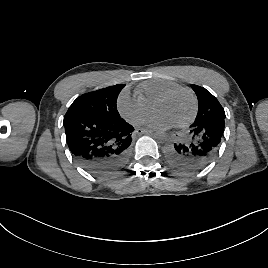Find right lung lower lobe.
Instances as JSON below:
<instances>
[{"label": "right lung lower lobe", "mask_w": 268, "mask_h": 268, "mask_svg": "<svg viewBox=\"0 0 268 268\" xmlns=\"http://www.w3.org/2000/svg\"><path fill=\"white\" fill-rule=\"evenodd\" d=\"M63 124L72 156L88 172L108 175L128 159L134 128L123 118L79 115Z\"/></svg>", "instance_id": "obj_1"}]
</instances>
